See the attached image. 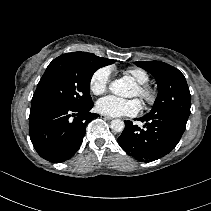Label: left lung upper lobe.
<instances>
[{"instance_id":"left-lung-upper-lobe-1","label":"left lung upper lobe","mask_w":211,"mask_h":211,"mask_svg":"<svg viewBox=\"0 0 211 211\" xmlns=\"http://www.w3.org/2000/svg\"><path fill=\"white\" fill-rule=\"evenodd\" d=\"M135 64L150 72L158 85V96L148 115L167 114L187 122L191 96L184 75L177 68L160 61H141Z\"/></svg>"}]
</instances>
